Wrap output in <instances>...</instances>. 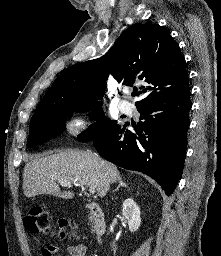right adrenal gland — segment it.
<instances>
[{
  "instance_id": "obj_1",
  "label": "right adrenal gland",
  "mask_w": 221,
  "mask_h": 256,
  "mask_svg": "<svg viewBox=\"0 0 221 256\" xmlns=\"http://www.w3.org/2000/svg\"><path fill=\"white\" fill-rule=\"evenodd\" d=\"M118 182H119V185L117 186L115 191H117L120 187H126V188L128 187V185L124 183L121 178H119Z\"/></svg>"
}]
</instances>
